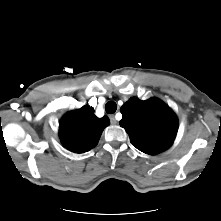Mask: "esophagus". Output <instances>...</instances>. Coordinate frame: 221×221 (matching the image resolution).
<instances>
[{"label":"esophagus","instance_id":"1","mask_svg":"<svg viewBox=\"0 0 221 221\" xmlns=\"http://www.w3.org/2000/svg\"><path fill=\"white\" fill-rule=\"evenodd\" d=\"M109 118H110L111 124H113V125L117 124V119L115 118L114 115H111Z\"/></svg>","mask_w":221,"mask_h":221}]
</instances>
